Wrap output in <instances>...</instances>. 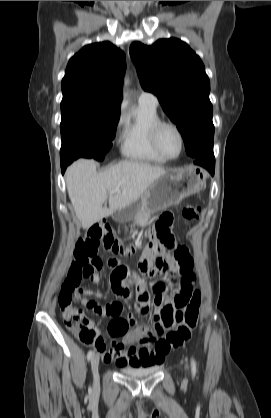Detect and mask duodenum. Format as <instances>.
Segmentation results:
<instances>
[{
	"label": "duodenum",
	"instance_id": "1",
	"mask_svg": "<svg viewBox=\"0 0 271 418\" xmlns=\"http://www.w3.org/2000/svg\"><path fill=\"white\" fill-rule=\"evenodd\" d=\"M114 218L118 221L123 220L124 219V213L123 212H116L114 215Z\"/></svg>",
	"mask_w": 271,
	"mask_h": 418
}]
</instances>
